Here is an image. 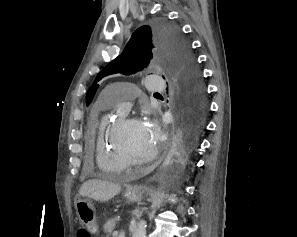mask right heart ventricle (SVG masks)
I'll list each match as a JSON object with an SVG mask.
<instances>
[{
	"mask_svg": "<svg viewBox=\"0 0 297 237\" xmlns=\"http://www.w3.org/2000/svg\"><path fill=\"white\" fill-rule=\"evenodd\" d=\"M108 107L109 105L105 103L104 109H108ZM121 118L122 115L120 114L114 117L103 115L97 127L95 142L96 163L99 169L108 175L121 173L126 168L123 161L115 153L111 144L113 129Z\"/></svg>",
	"mask_w": 297,
	"mask_h": 237,
	"instance_id": "e07e8e85",
	"label": "right heart ventricle"
}]
</instances>
